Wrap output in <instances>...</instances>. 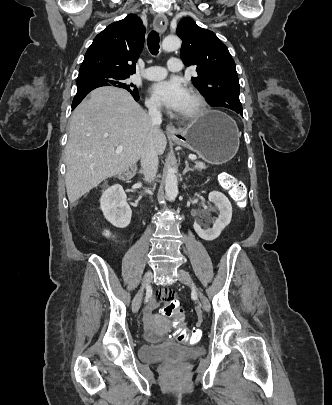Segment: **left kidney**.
<instances>
[{"mask_svg":"<svg viewBox=\"0 0 332 405\" xmlns=\"http://www.w3.org/2000/svg\"><path fill=\"white\" fill-rule=\"evenodd\" d=\"M208 199L218 208V218L213 223L212 228L202 229L201 226H204L205 224L201 220L195 221L193 227L200 238L207 241H213L219 237L223 229L231 222L232 205L228 198L218 191L211 192Z\"/></svg>","mask_w":332,"mask_h":405,"instance_id":"left-kidney-1","label":"left kidney"}]
</instances>
